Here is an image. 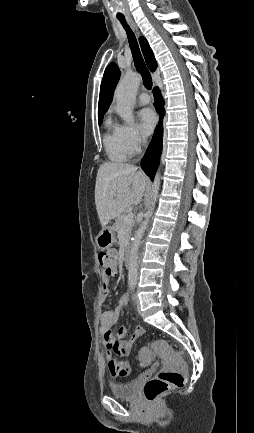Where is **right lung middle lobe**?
<instances>
[{"label": "right lung middle lobe", "mask_w": 254, "mask_h": 433, "mask_svg": "<svg viewBox=\"0 0 254 433\" xmlns=\"http://www.w3.org/2000/svg\"><path fill=\"white\" fill-rule=\"evenodd\" d=\"M102 124V120H99V125H101Z\"/></svg>", "instance_id": "1"}]
</instances>
